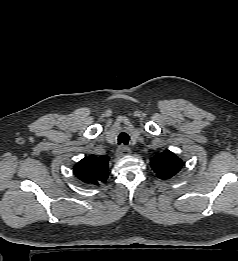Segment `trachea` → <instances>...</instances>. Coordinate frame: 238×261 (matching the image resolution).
<instances>
[{
	"label": "trachea",
	"mask_w": 238,
	"mask_h": 261,
	"mask_svg": "<svg viewBox=\"0 0 238 261\" xmlns=\"http://www.w3.org/2000/svg\"><path fill=\"white\" fill-rule=\"evenodd\" d=\"M129 140H130V137L125 132L120 133L119 136H118V143L119 144L127 145Z\"/></svg>",
	"instance_id": "1"
}]
</instances>
